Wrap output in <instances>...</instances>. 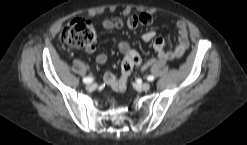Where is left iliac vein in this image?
Segmentation results:
<instances>
[{"mask_svg": "<svg viewBox=\"0 0 247 145\" xmlns=\"http://www.w3.org/2000/svg\"><path fill=\"white\" fill-rule=\"evenodd\" d=\"M151 87L150 83L145 82V83H141L137 85V89L140 91H147L149 90Z\"/></svg>", "mask_w": 247, "mask_h": 145, "instance_id": "1", "label": "left iliac vein"}]
</instances>
